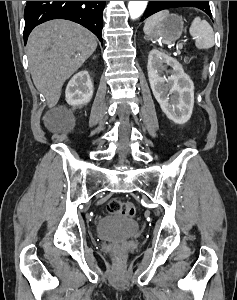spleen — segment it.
I'll return each instance as SVG.
<instances>
[{"label": "spleen", "instance_id": "spleen-1", "mask_svg": "<svg viewBox=\"0 0 237 300\" xmlns=\"http://www.w3.org/2000/svg\"><path fill=\"white\" fill-rule=\"evenodd\" d=\"M168 15L169 11H160V13H155V15L146 19L143 29L145 35H151L156 25L165 21ZM189 33L191 37L195 39L197 49H211V47H213L214 31L207 21H201L200 17H195L194 21L191 23Z\"/></svg>", "mask_w": 237, "mask_h": 300}]
</instances>
